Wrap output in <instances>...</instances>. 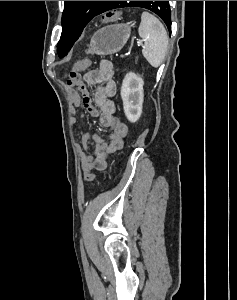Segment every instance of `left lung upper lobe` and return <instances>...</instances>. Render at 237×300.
Returning a JSON list of instances; mask_svg holds the SVG:
<instances>
[{"mask_svg":"<svg viewBox=\"0 0 237 300\" xmlns=\"http://www.w3.org/2000/svg\"><path fill=\"white\" fill-rule=\"evenodd\" d=\"M111 1H64L62 34L57 44L59 57H64L80 37L84 27L96 16L104 13ZM142 7L156 13L171 30L170 5L160 8V1H121L120 8Z\"/></svg>","mask_w":237,"mask_h":300,"instance_id":"5c2ea615","label":"left lung upper lobe"}]
</instances>
